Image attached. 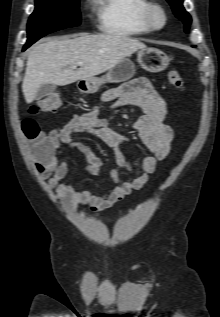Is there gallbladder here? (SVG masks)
Instances as JSON below:
<instances>
[{"label": "gallbladder", "instance_id": "1", "mask_svg": "<svg viewBox=\"0 0 220 317\" xmlns=\"http://www.w3.org/2000/svg\"><path fill=\"white\" fill-rule=\"evenodd\" d=\"M56 90V85L54 84H44L42 85L36 93V99H42Z\"/></svg>", "mask_w": 220, "mask_h": 317}]
</instances>
